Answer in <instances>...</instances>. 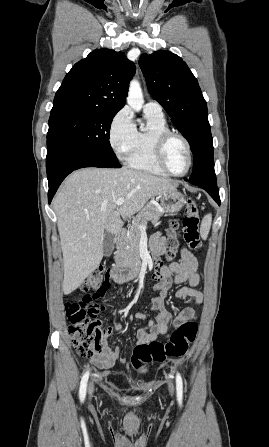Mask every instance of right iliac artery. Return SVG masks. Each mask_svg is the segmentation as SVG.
<instances>
[{
    "instance_id": "obj_1",
    "label": "right iliac artery",
    "mask_w": 269,
    "mask_h": 447,
    "mask_svg": "<svg viewBox=\"0 0 269 447\" xmlns=\"http://www.w3.org/2000/svg\"><path fill=\"white\" fill-rule=\"evenodd\" d=\"M88 378H89V372H86L84 374V376L82 377V380H81V383H80L79 395H80L81 402L84 401V398H85V395H86V387H87Z\"/></svg>"
}]
</instances>
